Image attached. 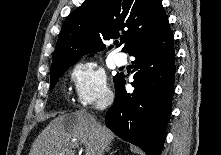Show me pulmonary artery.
<instances>
[{"label": "pulmonary artery", "mask_w": 221, "mask_h": 155, "mask_svg": "<svg viewBox=\"0 0 221 155\" xmlns=\"http://www.w3.org/2000/svg\"><path fill=\"white\" fill-rule=\"evenodd\" d=\"M114 62L117 66H124L127 63V59L125 54L123 53H116L114 56Z\"/></svg>", "instance_id": "e3ab8cb5"}]
</instances>
